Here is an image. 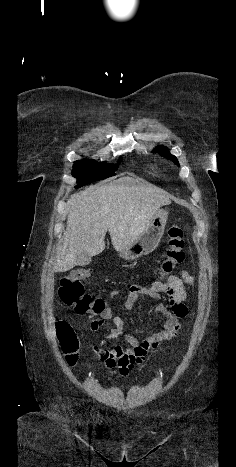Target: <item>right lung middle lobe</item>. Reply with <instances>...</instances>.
I'll use <instances>...</instances> for the list:
<instances>
[{
	"label": "right lung middle lobe",
	"mask_w": 236,
	"mask_h": 467,
	"mask_svg": "<svg viewBox=\"0 0 236 467\" xmlns=\"http://www.w3.org/2000/svg\"><path fill=\"white\" fill-rule=\"evenodd\" d=\"M118 166L106 163H96L95 161L81 160L75 161L72 175L78 178V186L89 184L115 175Z\"/></svg>",
	"instance_id": "obj_1"
}]
</instances>
